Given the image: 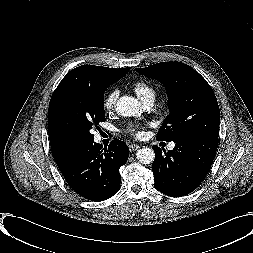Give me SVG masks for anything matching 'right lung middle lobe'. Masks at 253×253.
Here are the masks:
<instances>
[{
	"label": "right lung middle lobe",
	"mask_w": 253,
	"mask_h": 253,
	"mask_svg": "<svg viewBox=\"0 0 253 253\" xmlns=\"http://www.w3.org/2000/svg\"><path fill=\"white\" fill-rule=\"evenodd\" d=\"M115 81L80 80L56 98L50 117L63 140L82 147L93 142L90 130L105 121L104 92Z\"/></svg>",
	"instance_id": "right-lung-middle-lobe-1"
}]
</instances>
